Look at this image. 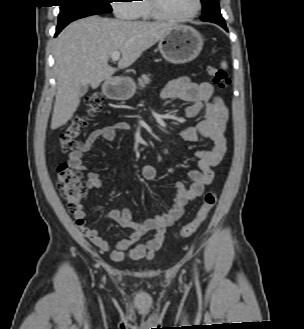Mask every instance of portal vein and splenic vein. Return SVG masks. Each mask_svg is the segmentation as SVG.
I'll return each mask as SVG.
<instances>
[{
	"mask_svg": "<svg viewBox=\"0 0 304 329\" xmlns=\"http://www.w3.org/2000/svg\"><path fill=\"white\" fill-rule=\"evenodd\" d=\"M111 59L112 61L116 62L120 59V53L119 52H115L111 54Z\"/></svg>",
	"mask_w": 304,
	"mask_h": 329,
	"instance_id": "1",
	"label": "portal vein and splenic vein"
}]
</instances>
